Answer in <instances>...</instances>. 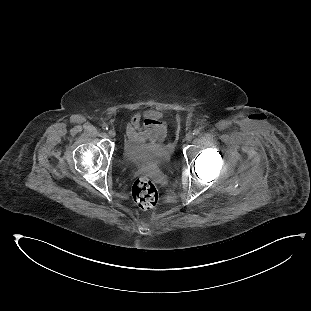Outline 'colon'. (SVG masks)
Segmentation results:
<instances>
[{
    "label": "colon",
    "mask_w": 311,
    "mask_h": 311,
    "mask_svg": "<svg viewBox=\"0 0 311 311\" xmlns=\"http://www.w3.org/2000/svg\"><path fill=\"white\" fill-rule=\"evenodd\" d=\"M133 200L144 211L153 209L159 200V194L153 182L145 177L135 180L132 187Z\"/></svg>",
    "instance_id": "colon-1"
}]
</instances>
